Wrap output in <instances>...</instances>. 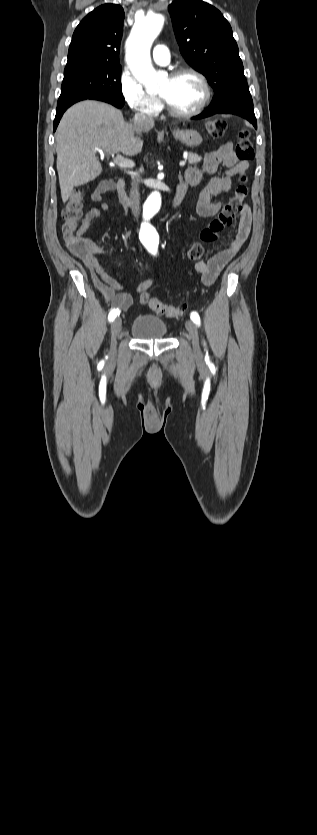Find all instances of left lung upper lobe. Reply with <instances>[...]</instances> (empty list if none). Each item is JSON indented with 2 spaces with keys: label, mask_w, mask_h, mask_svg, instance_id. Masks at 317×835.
<instances>
[{
  "label": "left lung upper lobe",
  "mask_w": 317,
  "mask_h": 835,
  "mask_svg": "<svg viewBox=\"0 0 317 835\" xmlns=\"http://www.w3.org/2000/svg\"><path fill=\"white\" fill-rule=\"evenodd\" d=\"M169 12L181 54L214 89L210 106L231 102L253 106L238 46L221 12L199 0H177Z\"/></svg>",
  "instance_id": "obj_1"
}]
</instances>
